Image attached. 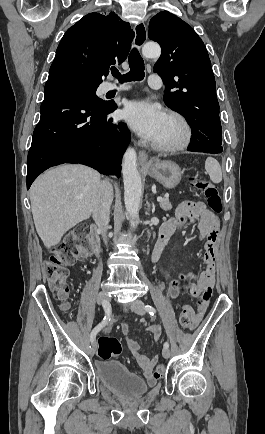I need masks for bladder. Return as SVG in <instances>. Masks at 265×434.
Segmentation results:
<instances>
[{
  "label": "bladder",
  "instance_id": "1",
  "mask_svg": "<svg viewBox=\"0 0 265 434\" xmlns=\"http://www.w3.org/2000/svg\"><path fill=\"white\" fill-rule=\"evenodd\" d=\"M100 380L124 399H135L148 391V385L117 360L102 359L96 363Z\"/></svg>",
  "mask_w": 265,
  "mask_h": 434
}]
</instances>
